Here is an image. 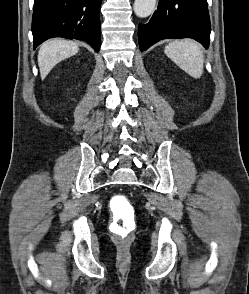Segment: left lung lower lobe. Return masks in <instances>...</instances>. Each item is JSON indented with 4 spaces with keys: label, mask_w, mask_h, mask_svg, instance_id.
I'll list each match as a JSON object with an SVG mask.
<instances>
[{
    "label": "left lung lower lobe",
    "mask_w": 249,
    "mask_h": 294,
    "mask_svg": "<svg viewBox=\"0 0 249 294\" xmlns=\"http://www.w3.org/2000/svg\"><path fill=\"white\" fill-rule=\"evenodd\" d=\"M210 19L206 0H160L147 24H139L141 51L159 40L190 37L209 46Z\"/></svg>",
    "instance_id": "1"
}]
</instances>
